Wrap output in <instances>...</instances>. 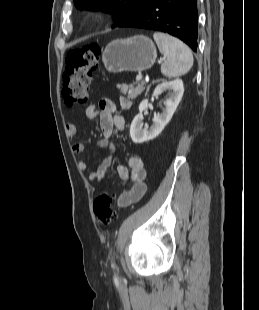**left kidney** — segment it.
Masks as SVG:
<instances>
[{"label":"left kidney","instance_id":"5707ae66","mask_svg":"<svg viewBox=\"0 0 259 310\" xmlns=\"http://www.w3.org/2000/svg\"><path fill=\"white\" fill-rule=\"evenodd\" d=\"M164 91H169V98L164 101L165 109L161 114H155L153 125H145L143 128V111L148 108V100H143L139 105V114L135 116L130 127V136L134 143L140 144L156 138L171 120L184 93L183 81L175 79L173 81L159 84L153 95H159Z\"/></svg>","mask_w":259,"mask_h":310}]
</instances>
